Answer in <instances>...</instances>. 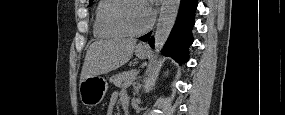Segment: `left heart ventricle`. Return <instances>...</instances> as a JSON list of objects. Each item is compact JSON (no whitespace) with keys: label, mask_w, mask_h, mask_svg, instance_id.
Returning a JSON list of instances; mask_svg holds the SVG:
<instances>
[{"label":"left heart ventricle","mask_w":285,"mask_h":115,"mask_svg":"<svg viewBox=\"0 0 285 115\" xmlns=\"http://www.w3.org/2000/svg\"><path fill=\"white\" fill-rule=\"evenodd\" d=\"M122 22L131 30H140L146 26V20L141 2H130L120 13Z\"/></svg>","instance_id":"1"}]
</instances>
